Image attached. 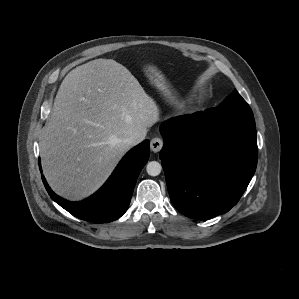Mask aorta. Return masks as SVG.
Wrapping results in <instances>:
<instances>
[{"label":"aorta","mask_w":299,"mask_h":299,"mask_svg":"<svg viewBox=\"0 0 299 299\" xmlns=\"http://www.w3.org/2000/svg\"><path fill=\"white\" fill-rule=\"evenodd\" d=\"M162 166L157 161H151L146 166V171L150 176H158L161 173Z\"/></svg>","instance_id":"aorta-1"}]
</instances>
